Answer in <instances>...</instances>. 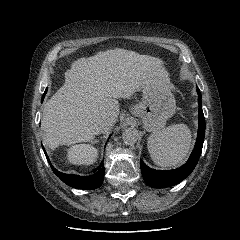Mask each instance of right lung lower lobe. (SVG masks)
I'll list each match as a JSON object with an SVG mask.
<instances>
[{
  "mask_svg": "<svg viewBox=\"0 0 240 240\" xmlns=\"http://www.w3.org/2000/svg\"><path fill=\"white\" fill-rule=\"evenodd\" d=\"M44 152L45 149L43 148ZM46 154V153H45ZM50 163L49 158L47 157ZM51 165V163H50ZM51 168L53 172L67 185L77 188V189H87L92 190L100 187L104 180V167L100 168L98 172L90 176H78L74 174H65L56 170L52 165Z\"/></svg>",
  "mask_w": 240,
  "mask_h": 240,
  "instance_id": "98d812e1",
  "label": "right lung lower lobe"
}]
</instances>
